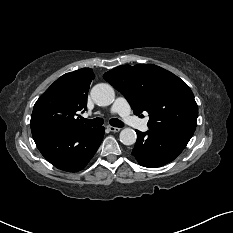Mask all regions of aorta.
Listing matches in <instances>:
<instances>
[{"label":"aorta","instance_id":"aorta-1","mask_svg":"<svg viewBox=\"0 0 233 233\" xmlns=\"http://www.w3.org/2000/svg\"><path fill=\"white\" fill-rule=\"evenodd\" d=\"M91 97L97 105L108 106L113 102L115 92L109 84L100 83L92 88ZM119 137L124 145H133L137 139L136 132L131 128H124Z\"/></svg>","mask_w":233,"mask_h":233}]
</instances>
